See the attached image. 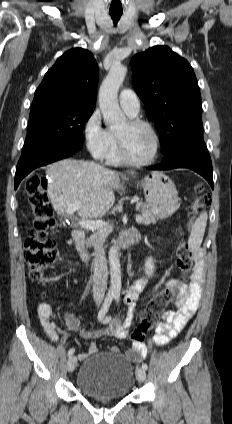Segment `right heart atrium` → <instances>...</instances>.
<instances>
[{"instance_id": "1", "label": "right heart atrium", "mask_w": 232, "mask_h": 424, "mask_svg": "<svg viewBox=\"0 0 232 424\" xmlns=\"http://www.w3.org/2000/svg\"><path fill=\"white\" fill-rule=\"evenodd\" d=\"M83 138L90 154L96 159L107 156L112 146V136L102 125L101 116L94 111L83 126Z\"/></svg>"}]
</instances>
